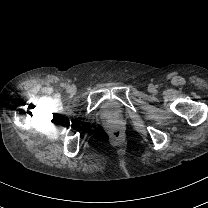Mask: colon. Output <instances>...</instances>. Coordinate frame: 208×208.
I'll return each mask as SVG.
<instances>
[{
    "instance_id": "5ec220e1",
    "label": "colon",
    "mask_w": 208,
    "mask_h": 208,
    "mask_svg": "<svg viewBox=\"0 0 208 208\" xmlns=\"http://www.w3.org/2000/svg\"><path fill=\"white\" fill-rule=\"evenodd\" d=\"M115 137H118V134H115Z\"/></svg>"
}]
</instances>
